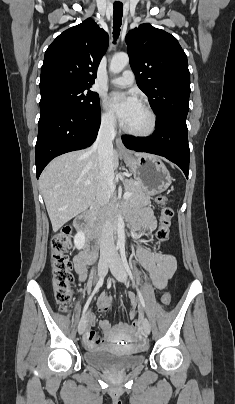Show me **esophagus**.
Listing matches in <instances>:
<instances>
[{"instance_id":"1","label":"esophagus","mask_w":235,"mask_h":404,"mask_svg":"<svg viewBox=\"0 0 235 404\" xmlns=\"http://www.w3.org/2000/svg\"><path fill=\"white\" fill-rule=\"evenodd\" d=\"M116 143H117L118 152H119L120 154L127 155V154L130 153L129 150H128V149L124 146V144L122 143V140H121L120 137L117 138Z\"/></svg>"}]
</instances>
